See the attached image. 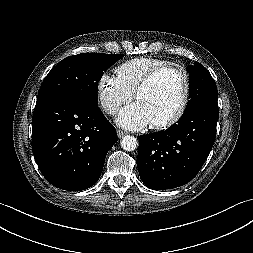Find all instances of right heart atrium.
<instances>
[{
	"instance_id": "obj_1",
	"label": "right heart atrium",
	"mask_w": 253,
	"mask_h": 253,
	"mask_svg": "<svg viewBox=\"0 0 253 253\" xmlns=\"http://www.w3.org/2000/svg\"><path fill=\"white\" fill-rule=\"evenodd\" d=\"M97 89L100 104L110 115L116 114L122 105L129 103L133 98V94L116 77L108 74L100 77Z\"/></svg>"
}]
</instances>
